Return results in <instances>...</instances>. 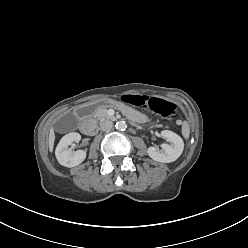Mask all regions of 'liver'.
I'll return each instance as SVG.
<instances>
[{"mask_svg": "<svg viewBox=\"0 0 248 248\" xmlns=\"http://www.w3.org/2000/svg\"><path fill=\"white\" fill-rule=\"evenodd\" d=\"M48 141H49V150L52 151L53 146H54V141H55V133H54L53 128L50 129L49 140Z\"/></svg>", "mask_w": 248, "mask_h": 248, "instance_id": "1", "label": "liver"}]
</instances>
